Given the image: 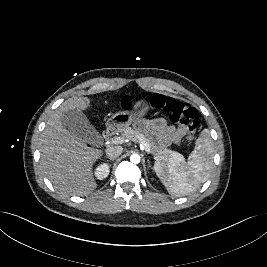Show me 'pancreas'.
I'll use <instances>...</instances> for the list:
<instances>
[{
  "instance_id": "pancreas-1",
  "label": "pancreas",
  "mask_w": 267,
  "mask_h": 267,
  "mask_svg": "<svg viewBox=\"0 0 267 267\" xmlns=\"http://www.w3.org/2000/svg\"><path fill=\"white\" fill-rule=\"evenodd\" d=\"M123 139H128L133 142H140L146 144L150 148V153L158 160H165L169 159L170 157L174 156L176 152H173L169 149H156L153 147L152 143L139 131L133 130L130 127H127L123 130L122 134Z\"/></svg>"
}]
</instances>
